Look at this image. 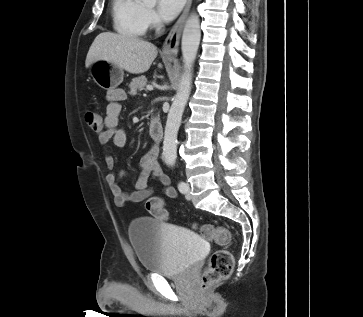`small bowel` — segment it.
<instances>
[{
	"instance_id": "1",
	"label": "small bowel",
	"mask_w": 363,
	"mask_h": 317,
	"mask_svg": "<svg viewBox=\"0 0 363 317\" xmlns=\"http://www.w3.org/2000/svg\"><path fill=\"white\" fill-rule=\"evenodd\" d=\"M124 90L117 88L109 91L106 115L102 119L103 129L99 133L98 139L101 145L112 144L116 148H122L128 141L127 132L119 125L121 113V102L125 99ZM105 162L110 173L106 176V181L110 187L114 202L118 206H123L127 202H142L152 198V191L148 188L150 177L157 178L163 188V194L168 198L177 196L176 190L170 186V179L165 174L160 162L159 151L156 146L151 147L138 161L140 169L139 176L135 182V190L125 192L119 185L121 179L128 178L126 172L115 173L116 160L112 155L105 157Z\"/></svg>"
}]
</instances>
